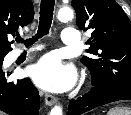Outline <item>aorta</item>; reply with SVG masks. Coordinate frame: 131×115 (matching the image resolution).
<instances>
[{
    "label": "aorta",
    "instance_id": "1",
    "mask_svg": "<svg viewBox=\"0 0 131 115\" xmlns=\"http://www.w3.org/2000/svg\"><path fill=\"white\" fill-rule=\"evenodd\" d=\"M57 18L60 21H69L73 18V11L71 8L63 7L60 8L57 13ZM50 115H62V108L60 106H55L52 108Z\"/></svg>",
    "mask_w": 131,
    "mask_h": 115
}]
</instances>
